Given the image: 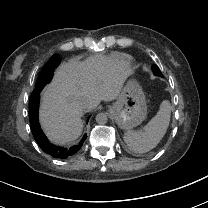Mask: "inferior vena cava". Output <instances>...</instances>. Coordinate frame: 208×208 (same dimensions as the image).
Here are the masks:
<instances>
[{"instance_id": "obj_1", "label": "inferior vena cava", "mask_w": 208, "mask_h": 208, "mask_svg": "<svg viewBox=\"0 0 208 208\" xmlns=\"http://www.w3.org/2000/svg\"><path fill=\"white\" fill-rule=\"evenodd\" d=\"M86 105H87L86 102H82V103H81V106H82V107H85Z\"/></svg>"}]
</instances>
